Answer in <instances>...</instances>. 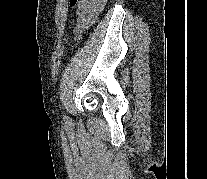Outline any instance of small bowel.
Segmentation results:
<instances>
[{
	"mask_svg": "<svg viewBox=\"0 0 207 179\" xmlns=\"http://www.w3.org/2000/svg\"><path fill=\"white\" fill-rule=\"evenodd\" d=\"M108 0H80L77 6V32L80 33L94 23Z\"/></svg>",
	"mask_w": 207,
	"mask_h": 179,
	"instance_id": "c3829d8e",
	"label": "small bowel"
}]
</instances>
